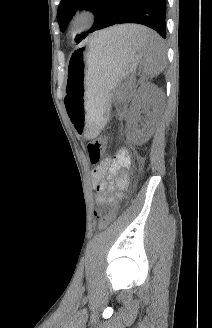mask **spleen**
<instances>
[{
	"label": "spleen",
	"mask_w": 212,
	"mask_h": 328,
	"mask_svg": "<svg viewBox=\"0 0 212 328\" xmlns=\"http://www.w3.org/2000/svg\"><path fill=\"white\" fill-rule=\"evenodd\" d=\"M132 41L142 51L143 73L146 79L156 77L163 71L166 60L163 40L155 32L134 25Z\"/></svg>",
	"instance_id": "obj_1"
}]
</instances>
